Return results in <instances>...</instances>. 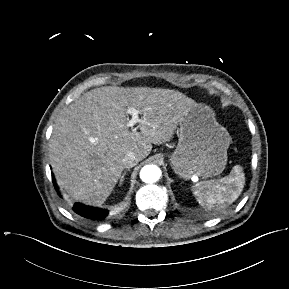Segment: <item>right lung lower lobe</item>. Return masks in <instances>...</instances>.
Returning <instances> with one entry per match:
<instances>
[{
  "label": "right lung lower lobe",
  "instance_id": "98d812e1",
  "mask_svg": "<svg viewBox=\"0 0 289 289\" xmlns=\"http://www.w3.org/2000/svg\"><path fill=\"white\" fill-rule=\"evenodd\" d=\"M54 186L57 190L55 183ZM72 209L78 215L95 221H102L108 215V211L106 209L89 207L80 203H75Z\"/></svg>",
  "mask_w": 289,
  "mask_h": 289
}]
</instances>
